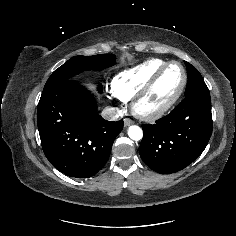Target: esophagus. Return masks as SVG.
Masks as SVG:
<instances>
[{
  "mask_svg": "<svg viewBox=\"0 0 236 236\" xmlns=\"http://www.w3.org/2000/svg\"><path fill=\"white\" fill-rule=\"evenodd\" d=\"M133 124V121L129 118H125L124 119V125L127 127L129 125Z\"/></svg>",
  "mask_w": 236,
  "mask_h": 236,
  "instance_id": "esophagus-1",
  "label": "esophagus"
}]
</instances>
